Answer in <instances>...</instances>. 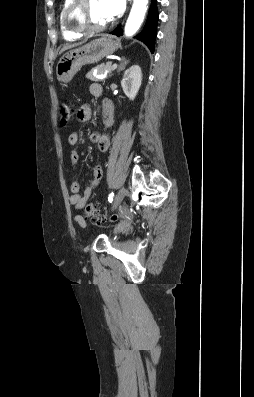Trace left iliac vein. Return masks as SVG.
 <instances>
[{
  "label": "left iliac vein",
  "mask_w": 254,
  "mask_h": 397,
  "mask_svg": "<svg viewBox=\"0 0 254 397\" xmlns=\"http://www.w3.org/2000/svg\"><path fill=\"white\" fill-rule=\"evenodd\" d=\"M127 193V190L125 187H122L119 192L117 193L116 197H115V201L112 207V211L116 210L118 208V206L120 205V203L123 201L125 195Z\"/></svg>",
  "instance_id": "obj_1"
}]
</instances>
